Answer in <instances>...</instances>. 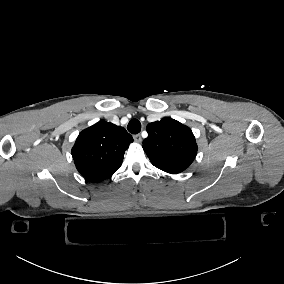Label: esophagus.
Returning a JSON list of instances; mask_svg holds the SVG:
<instances>
[{"label":"esophagus","instance_id":"1","mask_svg":"<svg viewBox=\"0 0 284 284\" xmlns=\"http://www.w3.org/2000/svg\"><path fill=\"white\" fill-rule=\"evenodd\" d=\"M133 138H134V140H135L137 143H141V142H142V138H141V135H140V134H135V135H133Z\"/></svg>","mask_w":284,"mask_h":284}]
</instances>
